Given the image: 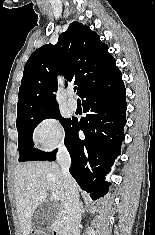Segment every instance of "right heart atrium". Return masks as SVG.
Returning a JSON list of instances; mask_svg holds the SVG:
<instances>
[{
    "label": "right heart atrium",
    "instance_id": "obj_1",
    "mask_svg": "<svg viewBox=\"0 0 155 235\" xmlns=\"http://www.w3.org/2000/svg\"><path fill=\"white\" fill-rule=\"evenodd\" d=\"M33 140L43 151L60 146L64 141V133L59 120L54 117L40 120L33 130Z\"/></svg>",
    "mask_w": 155,
    "mask_h": 235
}]
</instances>
